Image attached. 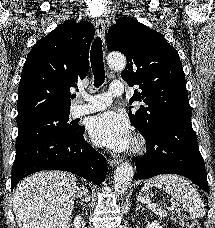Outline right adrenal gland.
I'll list each match as a JSON object with an SVG mask.
<instances>
[{
	"label": "right adrenal gland",
	"mask_w": 215,
	"mask_h": 228,
	"mask_svg": "<svg viewBox=\"0 0 215 228\" xmlns=\"http://www.w3.org/2000/svg\"><path fill=\"white\" fill-rule=\"evenodd\" d=\"M77 198L80 200V206H85V208H88L90 202L89 196H83L82 190H78ZM82 198H84V200H82Z\"/></svg>",
	"instance_id": "1"
}]
</instances>
